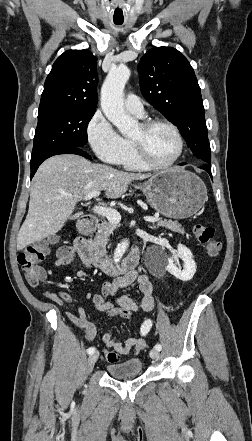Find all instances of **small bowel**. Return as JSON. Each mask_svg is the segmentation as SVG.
<instances>
[{"label": "small bowel", "instance_id": "small-bowel-1", "mask_svg": "<svg viewBox=\"0 0 252 441\" xmlns=\"http://www.w3.org/2000/svg\"><path fill=\"white\" fill-rule=\"evenodd\" d=\"M74 259L75 255L72 248L64 246L58 250L55 264L57 266H65L74 261ZM134 283L138 285L143 294L141 301L142 309L151 312L155 306L153 284L146 274H141L137 271H129L124 276L118 277L112 282H105L101 287V292L92 296L94 308L98 311H105L112 305L135 303L129 296L119 294L120 289L126 288ZM45 295L49 300L59 305L73 302V297L64 291L58 293L46 292ZM66 317L76 327L83 330L86 339H94L97 333L96 327L88 321L86 313L82 308H79L76 314L67 312ZM102 341L106 347L113 349L119 355L137 354L145 348V342L142 338L131 337L124 342H120L109 332L102 335Z\"/></svg>", "mask_w": 252, "mask_h": 441}]
</instances>
